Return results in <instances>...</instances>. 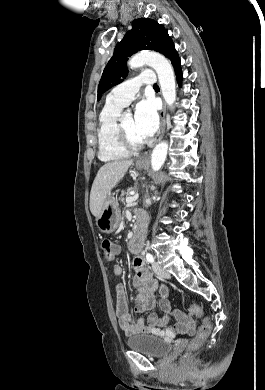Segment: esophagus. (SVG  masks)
Masks as SVG:
<instances>
[{"mask_svg": "<svg viewBox=\"0 0 265 390\" xmlns=\"http://www.w3.org/2000/svg\"><path fill=\"white\" fill-rule=\"evenodd\" d=\"M165 114H166V105H165V103H163V108L161 111V131H160V135H159L157 142H159L163 138V135H164L165 126H166ZM148 157H149V154L146 153L138 159V162H147Z\"/></svg>", "mask_w": 265, "mask_h": 390, "instance_id": "34e87169", "label": "esophagus"}]
</instances>
